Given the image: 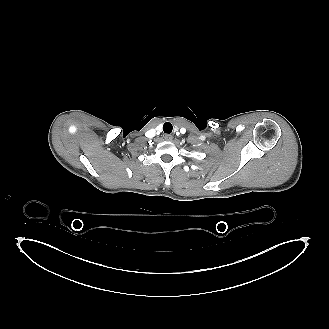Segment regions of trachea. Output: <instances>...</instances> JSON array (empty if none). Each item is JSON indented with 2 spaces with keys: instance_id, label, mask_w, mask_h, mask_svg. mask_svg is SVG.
Returning a JSON list of instances; mask_svg holds the SVG:
<instances>
[{
  "instance_id": "obj_1",
  "label": "trachea",
  "mask_w": 329,
  "mask_h": 329,
  "mask_svg": "<svg viewBox=\"0 0 329 329\" xmlns=\"http://www.w3.org/2000/svg\"><path fill=\"white\" fill-rule=\"evenodd\" d=\"M173 130V126L171 123L169 122H165L163 125V131L164 133L170 134Z\"/></svg>"
}]
</instances>
